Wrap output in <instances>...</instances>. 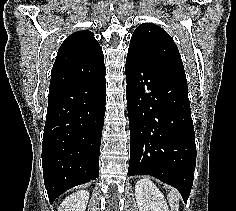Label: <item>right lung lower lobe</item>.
Listing matches in <instances>:
<instances>
[{
    "mask_svg": "<svg viewBox=\"0 0 236 211\" xmlns=\"http://www.w3.org/2000/svg\"><path fill=\"white\" fill-rule=\"evenodd\" d=\"M105 73L49 88L42 166L51 204L66 190L99 175Z\"/></svg>",
    "mask_w": 236,
    "mask_h": 211,
    "instance_id": "1",
    "label": "right lung lower lobe"
}]
</instances>
